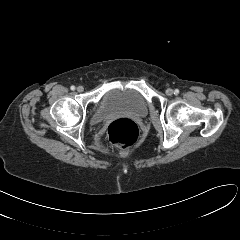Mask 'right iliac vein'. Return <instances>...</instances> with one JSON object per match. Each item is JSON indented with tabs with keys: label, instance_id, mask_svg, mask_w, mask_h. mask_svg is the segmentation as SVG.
I'll use <instances>...</instances> for the list:
<instances>
[{
	"label": "right iliac vein",
	"instance_id": "63e3f726",
	"mask_svg": "<svg viewBox=\"0 0 240 240\" xmlns=\"http://www.w3.org/2000/svg\"><path fill=\"white\" fill-rule=\"evenodd\" d=\"M77 91L80 92V93L83 92V91H84L83 86H78V87H77Z\"/></svg>",
	"mask_w": 240,
	"mask_h": 240
}]
</instances>
